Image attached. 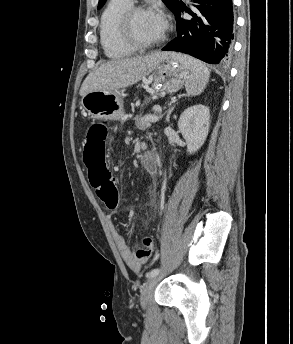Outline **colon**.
<instances>
[{
	"mask_svg": "<svg viewBox=\"0 0 293 344\" xmlns=\"http://www.w3.org/2000/svg\"><path fill=\"white\" fill-rule=\"evenodd\" d=\"M108 127L105 123L92 124L86 133L84 162L89 171V178L97 196L107 208L115 209L119 203L116 183L106 167ZM155 245L150 237H144L135 251L139 260L153 257Z\"/></svg>",
	"mask_w": 293,
	"mask_h": 344,
	"instance_id": "colon-1",
	"label": "colon"
}]
</instances>
